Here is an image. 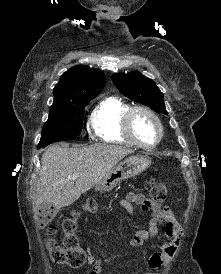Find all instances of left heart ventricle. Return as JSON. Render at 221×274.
<instances>
[{
  "mask_svg": "<svg viewBox=\"0 0 221 274\" xmlns=\"http://www.w3.org/2000/svg\"><path fill=\"white\" fill-rule=\"evenodd\" d=\"M133 128L136 137L144 144H153L158 138V128L155 121L144 112L135 114Z\"/></svg>",
  "mask_w": 221,
  "mask_h": 274,
  "instance_id": "1",
  "label": "left heart ventricle"
}]
</instances>
